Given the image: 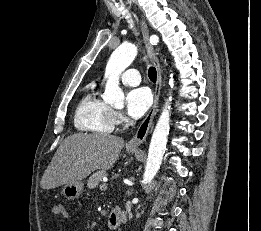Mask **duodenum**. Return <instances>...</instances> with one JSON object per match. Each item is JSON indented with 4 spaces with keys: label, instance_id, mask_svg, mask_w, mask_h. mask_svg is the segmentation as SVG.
<instances>
[{
    "label": "duodenum",
    "instance_id": "410a0bca",
    "mask_svg": "<svg viewBox=\"0 0 261 231\" xmlns=\"http://www.w3.org/2000/svg\"><path fill=\"white\" fill-rule=\"evenodd\" d=\"M126 213L121 207H115L110 211L108 225L110 228H117L125 219Z\"/></svg>",
    "mask_w": 261,
    "mask_h": 231
}]
</instances>
